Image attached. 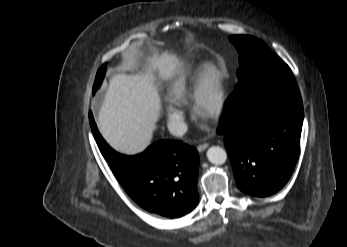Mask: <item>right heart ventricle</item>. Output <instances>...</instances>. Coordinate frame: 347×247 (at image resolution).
Listing matches in <instances>:
<instances>
[{
	"instance_id": "obj_1",
	"label": "right heart ventricle",
	"mask_w": 347,
	"mask_h": 247,
	"mask_svg": "<svg viewBox=\"0 0 347 247\" xmlns=\"http://www.w3.org/2000/svg\"><path fill=\"white\" fill-rule=\"evenodd\" d=\"M207 67L208 65H202L197 69H187L178 73L169 87V100L176 104L187 101L193 84L198 81L201 73Z\"/></svg>"
}]
</instances>
